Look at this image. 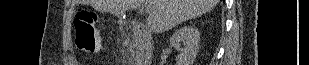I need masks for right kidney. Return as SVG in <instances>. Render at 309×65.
<instances>
[{"mask_svg":"<svg viewBox=\"0 0 309 65\" xmlns=\"http://www.w3.org/2000/svg\"><path fill=\"white\" fill-rule=\"evenodd\" d=\"M199 31L191 26H184L176 30L170 37V44L180 54L176 65H193L199 49ZM183 43L184 48L180 45Z\"/></svg>","mask_w":309,"mask_h":65,"instance_id":"obj_1","label":"right kidney"}]
</instances>
